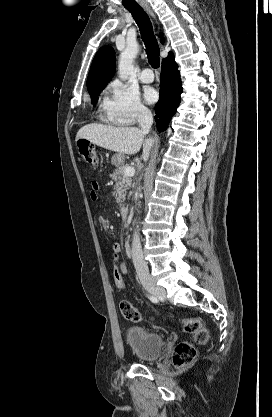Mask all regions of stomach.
I'll return each instance as SVG.
<instances>
[{"instance_id": "0dacf381", "label": "stomach", "mask_w": 272, "mask_h": 417, "mask_svg": "<svg viewBox=\"0 0 272 417\" xmlns=\"http://www.w3.org/2000/svg\"><path fill=\"white\" fill-rule=\"evenodd\" d=\"M125 161V156L122 153H116L112 156V164L115 166H122Z\"/></svg>"}]
</instances>
